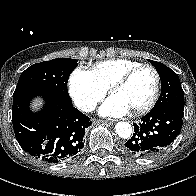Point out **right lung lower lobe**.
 Instances as JSON below:
<instances>
[{"mask_svg":"<svg viewBox=\"0 0 196 196\" xmlns=\"http://www.w3.org/2000/svg\"><path fill=\"white\" fill-rule=\"evenodd\" d=\"M35 96L45 99L38 113L29 108ZM12 123L21 148L48 163H59L75 157L84 147L85 129L90 118L54 92H38L13 100Z\"/></svg>","mask_w":196,"mask_h":196,"instance_id":"right-lung-lower-lobe-1","label":"right lung lower lobe"}]
</instances>
